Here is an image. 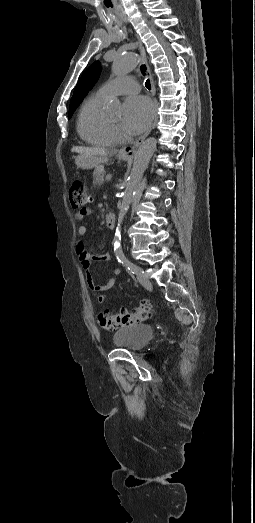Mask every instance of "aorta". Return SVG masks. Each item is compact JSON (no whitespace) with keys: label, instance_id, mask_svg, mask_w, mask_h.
<instances>
[{"label":"aorta","instance_id":"1","mask_svg":"<svg viewBox=\"0 0 255 523\" xmlns=\"http://www.w3.org/2000/svg\"><path fill=\"white\" fill-rule=\"evenodd\" d=\"M139 61L140 58L135 53H127L125 55H122L114 60L112 65V72L116 76H123L131 72L137 66ZM109 108L113 112H119V100L117 98H113L110 102ZM156 146L157 140L153 137L148 138L144 142H142L134 157L133 166L128 181L126 183V189L122 197V204L118 215V226L115 230L114 252L116 254L117 259L119 260L125 259L121 247L120 223H122L124 216L126 215L129 209V206L135 195V191L137 190L142 180L143 174L149 164V161L156 150Z\"/></svg>","mask_w":255,"mask_h":523}]
</instances>
